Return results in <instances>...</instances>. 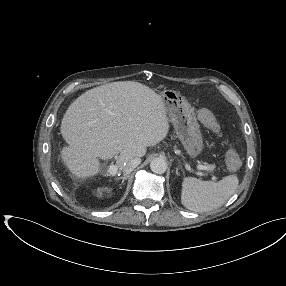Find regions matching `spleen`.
I'll use <instances>...</instances> for the list:
<instances>
[{
  "label": "spleen",
  "mask_w": 286,
  "mask_h": 286,
  "mask_svg": "<svg viewBox=\"0 0 286 286\" xmlns=\"http://www.w3.org/2000/svg\"><path fill=\"white\" fill-rule=\"evenodd\" d=\"M239 184L236 175L218 182L185 177L182 182L181 202L194 212H207L221 207L234 194Z\"/></svg>",
  "instance_id": "3e777b00"
}]
</instances>
